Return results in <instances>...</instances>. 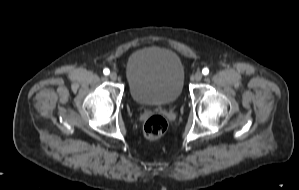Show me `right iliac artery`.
<instances>
[{
	"label": "right iliac artery",
	"instance_id": "1",
	"mask_svg": "<svg viewBox=\"0 0 299 190\" xmlns=\"http://www.w3.org/2000/svg\"><path fill=\"white\" fill-rule=\"evenodd\" d=\"M103 73H104L105 75H109L110 70H109L108 68H105V69L103 70Z\"/></svg>",
	"mask_w": 299,
	"mask_h": 190
}]
</instances>
